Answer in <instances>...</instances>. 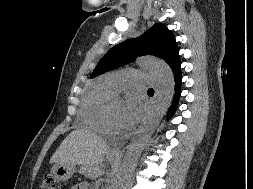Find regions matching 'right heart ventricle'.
I'll use <instances>...</instances> for the list:
<instances>
[{
	"label": "right heart ventricle",
	"mask_w": 253,
	"mask_h": 189,
	"mask_svg": "<svg viewBox=\"0 0 253 189\" xmlns=\"http://www.w3.org/2000/svg\"><path fill=\"white\" fill-rule=\"evenodd\" d=\"M113 90L107 82L101 81L91 87L86 94L79 112L80 124L97 133H105L107 102Z\"/></svg>",
	"instance_id": "right-heart-ventricle-1"
}]
</instances>
